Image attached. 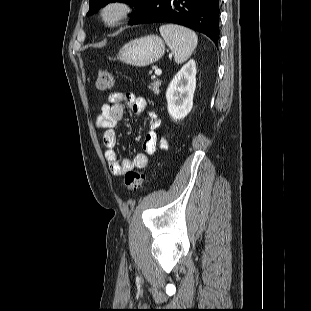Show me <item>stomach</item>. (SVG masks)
I'll use <instances>...</instances> for the list:
<instances>
[{"mask_svg": "<svg viewBox=\"0 0 311 311\" xmlns=\"http://www.w3.org/2000/svg\"><path fill=\"white\" fill-rule=\"evenodd\" d=\"M164 52L163 40L157 35H148L126 43L117 58L127 65L145 67L158 61Z\"/></svg>", "mask_w": 311, "mask_h": 311, "instance_id": "obj_1", "label": "stomach"}]
</instances>
